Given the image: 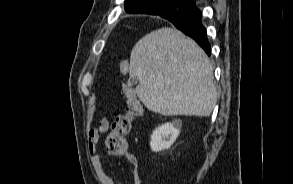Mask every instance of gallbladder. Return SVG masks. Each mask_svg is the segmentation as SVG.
Returning a JSON list of instances; mask_svg holds the SVG:
<instances>
[{
  "instance_id": "obj_1",
  "label": "gallbladder",
  "mask_w": 293,
  "mask_h": 184,
  "mask_svg": "<svg viewBox=\"0 0 293 184\" xmlns=\"http://www.w3.org/2000/svg\"><path fill=\"white\" fill-rule=\"evenodd\" d=\"M137 82H138V79H137L136 77H131V78L129 79V84H130L131 86L136 85Z\"/></svg>"
}]
</instances>
